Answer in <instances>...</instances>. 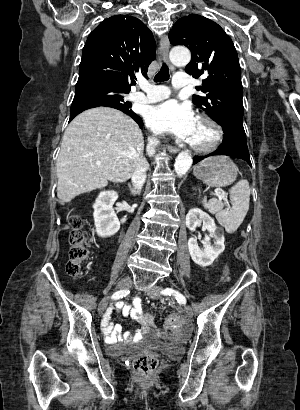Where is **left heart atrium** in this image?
I'll use <instances>...</instances> for the list:
<instances>
[{"label": "left heart atrium", "mask_w": 300, "mask_h": 410, "mask_svg": "<svg viewBox=\"0 0 300 410\" xmlns=\"http://www.w3.org/2000/svg\"><path fill=\"white\" fill-rule=\"evenodd\" d=\"M197 121L191 107L176 100H168L152 107L147 115V125L151 130L172 134L188 143H191Z\"/></svg>", "instance_id": "left-heart-atrium-1"}]
</instances>
